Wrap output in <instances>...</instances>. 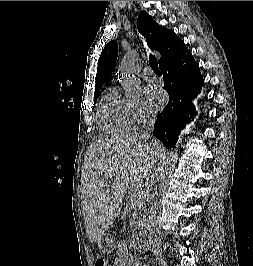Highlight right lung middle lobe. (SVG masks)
Segmentation results:
<instances>
[{"instance_id": "dd1d6c3e", "label": "right lung middle lobe", "mask_w": 253, "mask_h": 266, "mask_svg": "<svg viewBox=\"0 0 253 266\" xmlns=\"http://www.w3.org/2000/svg\"><path fill=\"white\" fill-rule=\"evenodd\" d=\"M98 97H99V96H95V97H94V102H96V100H97Z\"/></svg>"}]
</instances>
